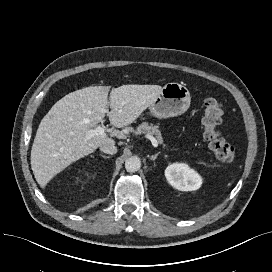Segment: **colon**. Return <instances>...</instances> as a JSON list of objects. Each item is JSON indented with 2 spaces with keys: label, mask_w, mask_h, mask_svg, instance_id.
I'll use <instances>...</instances> for the list:
<instances>
[{
  "label": "colon",
  "mask_w": 272,
  "mask_h": 272,
  "mask_svg": "<svg viewBox=\"0 0 272 272\" xmlns=\"http://www.w3.org/2000/svg\"><path fill=\"white\" fill-rule=\"evenodd\" d=\"M223 105L214 96L209 95L203 105L202 125L204 139L209 149L222 162H232L235 158L234 148L225 140L221 131Z\"/></svg>",
  "instance_id": "5ec220e1"
}]
</instances>
